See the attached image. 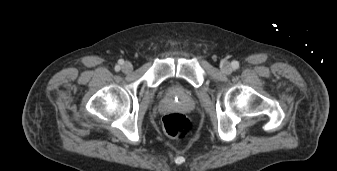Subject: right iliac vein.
<instances>
[{
    "mask_svg": "<svg viewBox=\"0 0 337 171\" xmlns=\"http://www.w3.org/2000/svg\"><path fill=\"white\" fill-rule=\"evenodd\" d=\"M122 71L125 72V73H129L132 71V65L130 62H125L123 65H122Z\"/></svg>",
    "mask_w": 337,
    "mask_h": 171,
    "instance_id": "63e3f726",
    "label": "right iliac vein"
}]
</instances>
